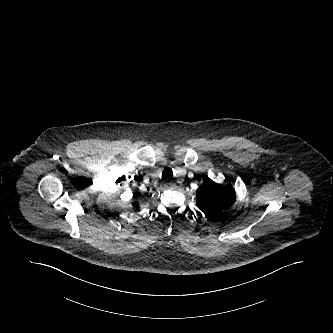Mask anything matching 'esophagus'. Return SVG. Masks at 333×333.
<instances>
[{
    "label": "esophagus",
    "instance_id": "1",
    "mask_svg": "<svg viewBox=\"0 0 333 333\" xmlns=\"http://www.w3.org/2000/svg\"><path fill=\"white\" fill-rule=\"evenodd\" d=\"M164 186H165V188H171V189H173V188H175L176 185H175L174 182H172L170 179H168V180L165 182Z\"/></svg>",
    "mask_w": 333,
    "mask_h": 333
}]
</instances>
